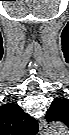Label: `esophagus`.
I'll return each instance as SVG.
<instances>
[{"instance_id":"1","label":"esophagus","mask_w":69,"mask_h":135,"mask_svg":"<svg viewBox=\"0 0 69 135\" xmlns=\"http://www.w3.org/2000/svg\"><path fill=\"white\" fill-rule=\"evenodd\" d=\"M39 129H40V134H44L47 131V124L44 119H40Z\"/></svg>"}]
</instances>
